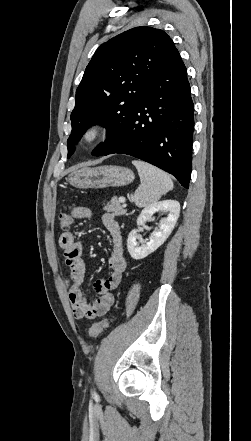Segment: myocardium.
I'll use <instances>...</instances> for the list:
<instances>
[{
  "instance_id": "1",
  "label": "myocardium",
  "mask_w": 251,
  "mask_h": 441,
  "mask_svg": "<svg viewBox=\"0 0 251 441\" xmlns=\"http://www.w3.org/2000/svg\"><path fill=\"white\" fill-rule=\"evenodd\" d=\"M108 126L101 121L88 124L81 132L79 141L84 147H90L100 142L108 133Z\"/></svg>"
}]
</instances>
